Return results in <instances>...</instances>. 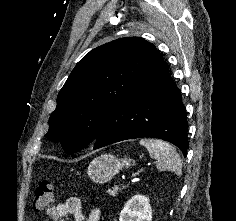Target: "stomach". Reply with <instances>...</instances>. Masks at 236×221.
I'll list each match as a JSON object with an SVG mask.
<instances>
[{"label": "stomach", "mask_w": 236, "mask_h": 221, "mask_svg": "<svg viewBox=\"0 0 236 221\" xmlns=\"http://www.w3.org/2000/svg\"><path fill=\"white\" fill-rule=\"evenodd\" d=\"M130 158L119 159L110 154H104L93 159L87 170L89 178L99 184L110 181L122 168H129L133 165Z\"/></svg>", "instance_id": "0dacf381"}]
</instances>
